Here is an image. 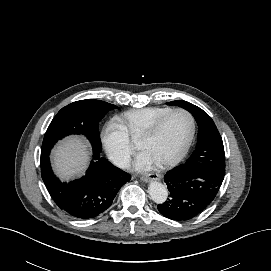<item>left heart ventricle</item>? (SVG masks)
<instances>
[{"instance_id": "b2bd125f", "label": "left heart ventricle", "mask_w": 271, "mask_h": 271, "mask_svg": "<svg viewBox=\"0 0 271 271\" xmlns=\"http://www.w3.org/2000/svg\"><path fill=\"white\" fill-rule=\"evenodd\" d=\"M190 132L189 116L178 112L170 116L155 135L140 139L139 146L142 150L148 151L156 162H162L181 151Z\"/></svg>"}]
</instances>
